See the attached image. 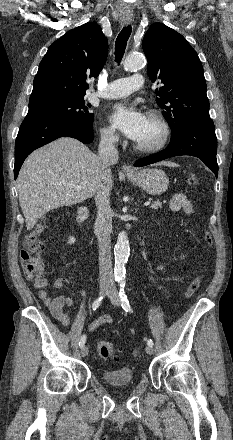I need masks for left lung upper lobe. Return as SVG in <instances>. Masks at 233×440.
Returning <instances> with one entry per match:
<instances>
[{
    "label": "left lung upper lobe",
    "instance_id": "5c2ea615",
    "mask_svg": "<svg viewBox=\"0 0 233 440\" xmlns=\"http://www.w3.org/2000/svg\"><path fill=\"white\" fill-rule=\"evenodd\" d=\"M142 47L149 78L163 84L156 90V102L163 109L172 136L178 135L192 119H210L203 67L187 40L172 28L154 23L145 34Z\"/></svg>",
    "mask_w": 233,
    "mask_h": 440
}]
</instances>
